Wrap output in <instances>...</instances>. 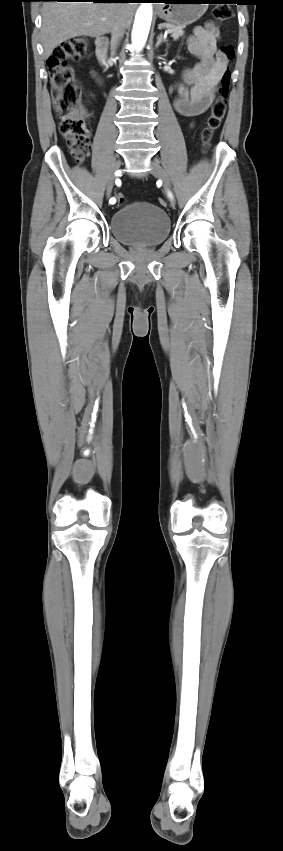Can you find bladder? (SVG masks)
Instances as JSON below:
<instances>
[{
    "label": "bladder",
    "instance_id": "1",
    "mask_svg": "<svg viewBox=\"0 0 283 851\" xmlns=\"http://www.w3.org/2000/svg\"><path fill=\"white\" fill-rule=\"evenodd\" d=\"M112 235L121 243L150 247L163 242L170 232V219L160 207L133 202L116 210L110 220Z\"/></svg>",
    "mask_w": 283,
    "mask_h": 851
}]
</instances>
